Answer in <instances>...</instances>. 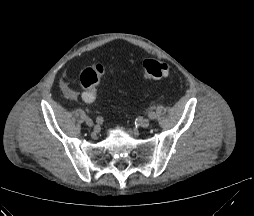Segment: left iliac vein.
<instances>
[{
	"label": "left iliac vein",
	"instance_id": "obj_1",
	"mask_svg": "<svg viewBox=\"0 0 254 216\" xmlns=\"http://www.w3.org/2000/svg\"><path fill=\"white\" fill-rule=\"evenodd\" d=\"M149 125H150V120H149V119H143V120H141V122H140V126H141L142 128H147Z\"/></svg>",
	"mask_w": 254,
	"mask_h": 216
}]
</instances>
